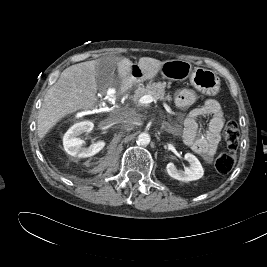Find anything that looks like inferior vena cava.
I'll list each match as a JSON object with an SVG mask.
<instances>
[{
    "mask_svg": "<svg viewBox=\"0 0 267 267\" xmlns=\"http://www.w3.org/2000/svg\"><path fill=\"white\" fill-rule=\"evenodd\" d=\"M117 122L123 123L126 127L132 128L138 124V117L134 110L124 109L117 112Z\"/></svg>",
    "mask_w": 267,
    "mask_h": 267,
    "instance_id": "1",
    "label": "inferior vena cava"
}]
</instances>
